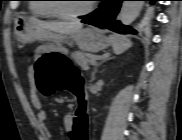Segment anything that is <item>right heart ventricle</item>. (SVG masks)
I'll return each mask as SVG.
<instances>
[{
  "instance_id": "right-heart-ventricle-1",
  "label": "right heart ventricle",
  "mask_w": 182,
  "mask_h": 140,
  "mask_svg": "<svg viewBox=\"0 0 182 140\" xmlns=\"http://www.w3.org/2000/svg\"><path fill=\"white\" fill-rule=\"evenodd\" d=\"M45 1L49 0H32L28 6L30 13L41 17L55 16L51 4L46 3Z\"/></svg>"
}]
</instances>
